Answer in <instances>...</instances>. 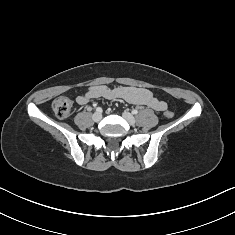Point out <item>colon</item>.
Wrapping results in <instances>:
<instances>
[{
  "mask_svg": "<svg viewBox=\"0 0 235 235\" xmlns=\"http://www.w3.org/2000/svg\"><path fill=\"white\" fill-rule=\"evenodd\" d=\"M53 111L58 118H66L70 115L72 110V102L69 98L60 96L57 97L52 104ZM167 118H172L174 116L173 112H165Z\"/></svg>",
  "mask_w": 235,
  "mask_h": 235,
  "instance_id": "colon-1",
  "label": "colon"
}]
</instances>
